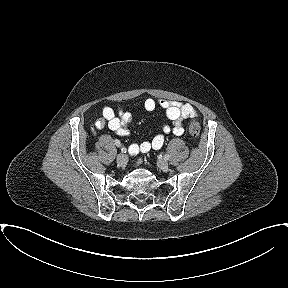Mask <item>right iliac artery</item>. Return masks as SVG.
<instances>
[{
    "instance_id": "right-iliac-artery-1",
    "label": "right iliac artery",
    "mask_w": 288,
    "mask_h": 288,
    "mask_svg": "<svg viewBox=\"0 0 288 288\" xmlns=\"http://www.w3.org/2000/svg\"><path fill=\"white\" fill-rule=\"evenodd\" d=\"M114 143H115V145H116L117 147H120V146H121V142H120L119 140H115Z\"/></svg>"
}]
</instances>
